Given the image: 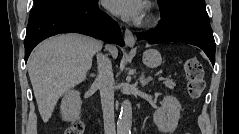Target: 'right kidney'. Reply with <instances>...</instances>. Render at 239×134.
<instances>
[{
  "instance_id": "right-kidney-1",
  "label": "right kidney",
  "mask_w": 239,
  "mask_h": 134,
  "mask_svg": "<svg viewBox=\"0 0 239 134\" xmlns=\"http://www.w3.org/2000/svg\"><path fill=\"white\" fill-rule=\"evenodd\" d=\"M80 92L69 90L61 102V114L64 121L74 122L79 118L81 111Z\"/></svg>"
}]
</instances>
